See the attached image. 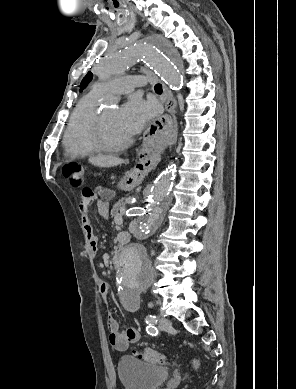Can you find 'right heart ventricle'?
I'll return each mask as SVG.
<instances>
[{"label": "right heart ventricle", "instance_id": "e07e8e85", "mask_svg": "<svg viewBox=\"0 0 296 389\" xmlns=\"http://www.w3.org/2000/svg\"><path fill=\"white\" fill-rule=\"evenodd\" d=\"M98 98L99 95L88 93L71 115L63 141L65 150L70 157L86 158L100 152L94 141Z\"/></svg>", "mask_w": 296, "mask_h": 389}]
</instances>
